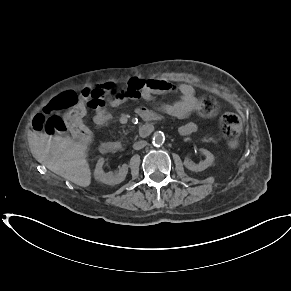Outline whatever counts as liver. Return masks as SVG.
I'll list each match as a JSON object with an SVG mask.
<instances>
[{"label": "liver", "instance_id": "obj_1", "mask_svg": "<svg viewBox=\"0 0 291 291\" xmlns=\"http://www.w3.org/2000/svg\"><path fill=\"white\" fill-rule=\"evenodd\" d=\"M33 156L54 173L82 187L91 184V170L85 147L70 137L31 133L28 138Z\"/></svg>", "mask_w": 291, "mask_h": 291}]
</instances>
